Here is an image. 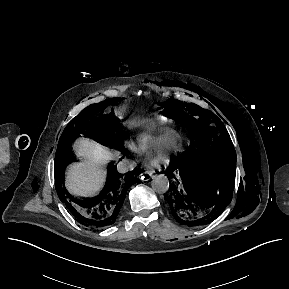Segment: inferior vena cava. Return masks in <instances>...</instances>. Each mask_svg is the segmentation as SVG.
Returning <instances> with one entry per match:
<instances>
[{"label":"inferior vena cava","instance_id":"602c4592","mask_svg":"<svg viewBox=\"0 0 289 289\" xmlns=\"http://www.w3.org/2000/svg\"><path fill=\"white\" fill-rule=\"evenodd\" d=\"M135 167L134 163H129L128 165L124 166V165H119L118 170L122 173H125L129 170H133Z\"/></svg>","mask_w":289,"mask_h":289}]
</instances>
